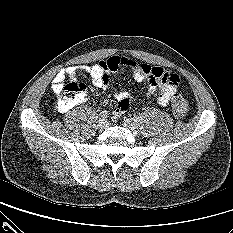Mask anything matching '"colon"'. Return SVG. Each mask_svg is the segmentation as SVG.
Listing matches in <instances>:
<instances>
[{
  "instance_id": "colon-1",
  "label": "colon",
  "mask_w": 233,
  "mask_h": 233,
  "mask_svg": "<svg viewBox=\"0 0 233 233\" xmlns=\"http://www.w3.org/2000/svg\"><path fill=\"white\" fill-rule=\"evenodd\" d=\"M84 98L85 85L82 83L71 82L63 87L61 95L56 102V107L59 111L64 112L82 102ZM188 109L189 106L186 99L181 95L176 94L171 102L173 115L177 118H182L187 114Z\"/></svg>"
}]
</instances>
